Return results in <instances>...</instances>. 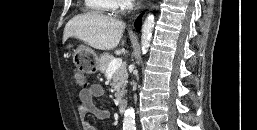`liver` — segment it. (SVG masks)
Returning a JSON list of instances; mask_svg holds the SVG:
<instances>
[{
  "label": "liver",
  "mask_w": 257,
  "mask_h": 130,
  "mask_svg": "<svg viewBox=\"0 0 257 130\" xmlns=\"http://www.w3.org/2000/svg\"><path fill=\"white\" fill-rule=\"evenodd\" d=\"M124 29V22L108 16L95 13L78 15L66 24L63 42L75 37L95 49L112 50L118 46Z\"/></svg>",
  "instance_id": "obj_1"
}]
</instances>
